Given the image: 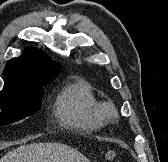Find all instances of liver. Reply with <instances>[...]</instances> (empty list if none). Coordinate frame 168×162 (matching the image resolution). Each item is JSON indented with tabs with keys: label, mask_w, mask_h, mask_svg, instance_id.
<instances>
[{
	"label": "liver",
	"mask_w": 168,
	"mask_h": 162,
	"mask_svg": "<svg viewBox=\"0 0 168 162\" xmlns=\"http://www.w3.org/2000/svg\"><path fill=\"white\" fill-rule=\"evenodd\" d=\"M0 162H90L77 150L60 143H32L9 151Z\"/></svg>",
	"instance_id": "obj_1"
}]
</instances>
